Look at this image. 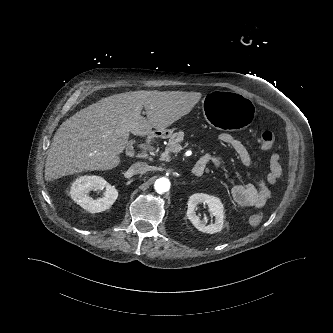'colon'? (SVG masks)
Here are the masks:
<instances>
[{
  "label": "colon",
  "instance_id": "obj_1",
  "mask_svg": "<svg viewBox=\"0 0 333 333\" xmlns=\"http://www.w3.org/2000/svg\"><path fill=\"white\" fill-rule=\"evenodd\" d=\"M275 142V135L271 131H265L261 134L259 138V146L263 151L270 150ZM263 215L261 213H256L250 216L249 221L252 225H258L262 222Z\"/></svg>",
  "mask_w": 333,
  "mask_h": 333
}]
</instances>
